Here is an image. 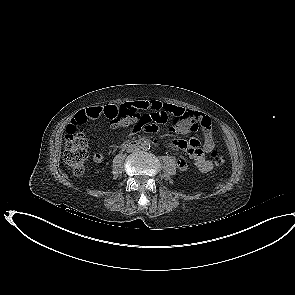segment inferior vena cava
<instances>
[{
    "instance_id": "inferior-vena-cava-1",
    "label": "inferior vena cava",
    "mask_w": 295,
    "mask_h": 295,
    "mask_svg": "<svg viewBox=\"0 0 295 295\" xmlns=\"http://www.w3.org/2000/svg\"><path fill=\"white\" fill-rule=\"evenodd\" d=\"M137 150H138V147L135 146V147H130V148H128V149H127V152L130 153V152H134V151H137Z\"/></svg>"
}]
</instances>
